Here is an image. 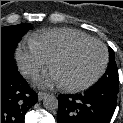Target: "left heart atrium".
<instances>
[{"instance_id": "obj_1", "label": "left heart atrium", "mask_w": 123, "mask_h": 123, "mask_svg": "<svg viewBox=\"0 0 123 123\" xmlns=\"http://www.w3.org/2000/svg\"><path fill=\"white\" fill-rule=\"evenodd\" d=\"M35 83L40 87H52L55 85H62L58 74L54 70H51L49 73L38 78Z\"/></svg>"}]
</instances>
